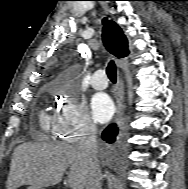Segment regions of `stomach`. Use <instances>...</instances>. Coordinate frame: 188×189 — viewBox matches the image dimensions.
<instances>
[{"mask_svg": "<svg viewBox=\"0 0 188 189\" xmlns=\"http://www.w3.org/2000/svg\"><path fill=\"white\" fill-rule=\"evenodd\" d=\"M27 189H35L33 186H31V187H28Z\"/></svg>", "mask_w": 188, "mask_h": 189, "instance_id": "1", "label": "stomach"}]
</instances>
